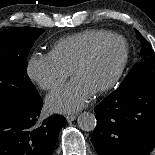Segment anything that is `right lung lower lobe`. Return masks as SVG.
<instances>
[{"mask_svg": "<svg viewBox=\"0 0 155 155\" xmlns=\"http://www.w3.org/2000/svg\"><path fill=\"white\" fill-rule=\"evenodd\" d=\"M43 100L29 108L0 107V155H51L60 129L67 123L58 114L37 124Z\"/></svg>", "mask_w": 155, "mask_h": 155, "instance_id": "98d812e1", "label": "right lung lower lobe"}]
</instances>
